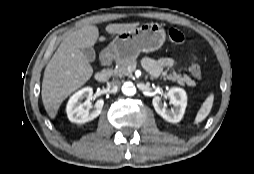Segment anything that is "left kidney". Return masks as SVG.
I'll use <instances>...</instances> for the list:
<instances>
[{
	"label": "left kidney",
	"instance_id": "5707ae66",
	"mask_svg": "<svg viewBox=\"0 0 254 174\" xmlns=\"http://www.w3.org/2000/svg\"><path fill=\"white\" fill-rule=\"evenodd\" d=\"M165 95L170 99L173 107L167 109L161 97L155 96L152 100L154 109L166 121L178 123L183 118L187 106L186 92L182 88L172 87Z\"/></svg>",
	"mask_w": 254,
	"mask_h": 174
}]
</instances>
